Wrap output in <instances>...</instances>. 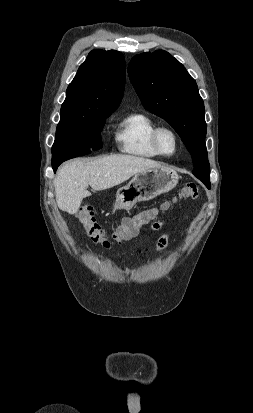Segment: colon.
Instances as JSON below:
<instances>
[{"instance_id":"5ec220e1","label":"colon","mask_w":253,"mask_h":413,"mask_svg":"<svg viewBox=\"0 0 253 413\" xmlns=\"http://www.w3.org/2000/svg\"><path fill=\"white\" fill-rule=\"evenodd\" d=\"M198 185L195 182H188L180 191L179 197L184 199H195L198 196ZM169 207V203L162 204L159 208H152L141 211L133 216L125 217L121 225L108 237L100 224L96 221L93 213V208L90 205L80 206L75 215L78 218L87 236L96 244H100L105 248H110L114 244H121L134 237L139 229L150 223L160 210H165Z\"/></svg>"}]
</instances>
